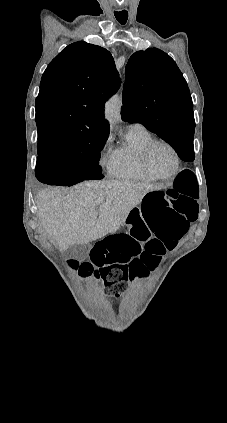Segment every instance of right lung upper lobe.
<instances>
[{
    "label": "right lung upper lobe",
    "mask_w": 227,
    "mask_h": 423,
    "mask_svg": "<svg viewBox=\"0 0 227 423\" xmlns=\"http://www.w3.org/2000/svg\"><path fill=\"white\" fill-rule=\"evenodd\" d=\"M120 82L109 51L82 41L67 46L42 75L35 107L38 145L109 134L104 104Z\"/></svg>",
    "instance_id": "obj_1"
}]
</instances>
